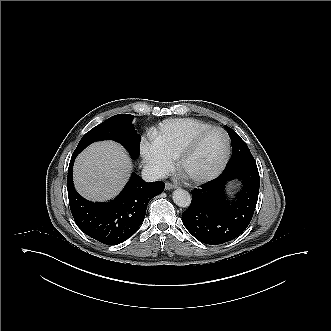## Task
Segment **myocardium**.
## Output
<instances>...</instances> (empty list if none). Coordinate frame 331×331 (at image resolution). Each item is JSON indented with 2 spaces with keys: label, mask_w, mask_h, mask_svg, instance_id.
<instances>
[{
  "label": "myocardium",
  "mask_w": 331,
  "mask_h": 331,
  "mask_svg": "<svg viewBox=\"0 0 331 331\" xmlns=\"http://www.w3.org/2000/svg\"><path fill=\"white\" fill-rule=\"evenodd\" d=\"M220 132L223 137H224V142H225V147H224V152L222 159L220 163L217 165V167L212 170L210 173L206 175H197V176H188L184 172V163L188 156L193 152V150L196 148L198 145L199 141L207 134L211 132ZM229 156H230V138L227 134V132L216 126H211L209 128H206L198 133H196L194 136H192L187 143L184 145L180 153L178 154V159H177V168L180 173H182L188 180H190L193 183H204L211 181L218 177L225 167L227 166V163L229 161Z\"/></svg>",
  "instance_id": "obj_1"
}]
</instances>
